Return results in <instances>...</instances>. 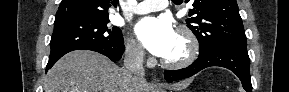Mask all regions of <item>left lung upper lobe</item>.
<instances>
[{
	"mask_svg": "<svg viewBox=\"0 0 289 92\" xmlns=\"http://www.w3.org/2000/svg\"><path fill=\"white\" fill-rule=\"evenodd\" d=\"M173 2L181 4L183 1ZM192 6L186 22L199 41V55L225 44H246L236 0H194Z\"/></svg>",
	"mask_w": 289,
	"mask_h": 92,
	"instance_id": "1",
	"label": "left lung upper lobe"
}]
</instances>
